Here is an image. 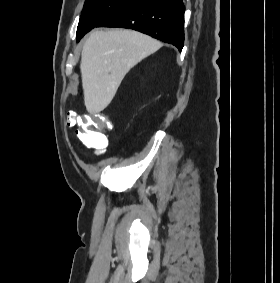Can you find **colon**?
I'll return each mask as SVG.
<instances>
[{
	"instance_id": "5ec220e1",
	"label": "colon",
	"mask_w": 280,
	"mask_h": 283,
	"mask_svg": "<svg viewBox=\"0 0 280 283\" xmlns=\"http://www.w3.org/2000/svg\"><path fill=\"white\" fill-rule=\"evenodd\" d=\"M68 118L73 119L76 139L83 146L96 152L105 150L108 140L104 132H111V122H104L107 114H102L101 110H85L82 117H76L75 113H70Z\"/></svg>"
}]
</instances>
